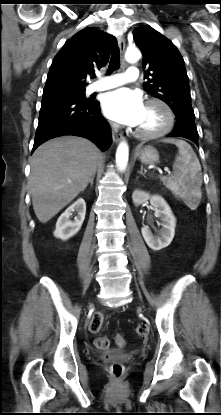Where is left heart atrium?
I'll use <instances>...</instances> for the list:
<instances>
[{
	"label": "left heart atrium",
	"mask_w": 221,
	"mask_h": 415,
	"mask_svg": "<svg viewBox=\"0 0 221 415\" xmlns=\"http://www.w3.org/2000/svg\"><path fill=\"white\" fill-rule=\"evenodd\" d=\"M102 109L107 118L120 124L138 126L145 104L140 92L120 88L105 94Z\"/></svg>",
	"instance_id": "39dd6f15"
}]
</instances>
